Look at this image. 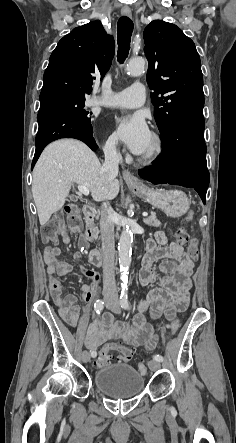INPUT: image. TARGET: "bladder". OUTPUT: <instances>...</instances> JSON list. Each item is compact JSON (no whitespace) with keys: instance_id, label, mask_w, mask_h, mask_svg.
<instances>
[{"instance_id":"1","label":"bladder","mask_w":236,"mask_h":443,"mask_svg":"<svg viewBox=\"0 0 236 443\" xmlns=\"http://www.w3.org/2000/svg\"><path fill=\"white\" fill-rule=\"evenodd\" d=\"M144 380L142 373L124 364L108 365L94 374L95 386L105 395L115 399L135 396L143 389Z\"/></svg>"}]
</instances>
